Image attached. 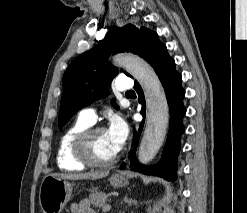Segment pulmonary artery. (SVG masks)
I'll return each mask as SVG.
<instances>
[{
    "mask_svg": "<svg viewBox=\"0 0 247 213\" xmlns=\"http://www.w3.org/2000/svg\"><path fill=\"white\" fill-rule=\"evenodd\" d=\"M133 87L132 79L129 77H118L117 78V90L119 92L130 91ZM79 118L91 124L96 122L97 114L93 108H86L79 112Z\"/></svg>",
    "mask_w": 247,
    "mask_h": 213,
    "instance_id": "1",
    "label": "pulmonary artery"
}]
</instances>
